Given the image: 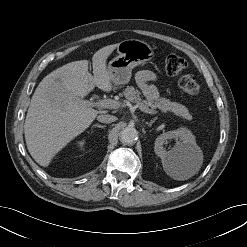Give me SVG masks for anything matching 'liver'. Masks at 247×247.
<instances>
[{
    "label": "liver",
    "instance_id": "1",
    "mask_svg": "<svg viewBox=\"0 0 247 247\" xmlns=\"http://www.w3.org/2000/svg\"><path fill=\"white\" fill-rule=\"evenodd\" d=\"M118 44L98 50L92 57L93 76L88 61L70 62L43 78L27 111L24 134L32 158L47 167L52 158L72 139L86 130L98 113L84 98L95 85L106 92L112 82L106 60Z\"/></svg>",
    "mask_w": 247,
    "mask_h": 247
}]
</instances>
